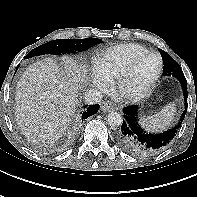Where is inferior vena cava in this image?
Wrapping results in <instances>:
<instances>
[{
	"mask_svg": "<svg viewBox=\"0 0 197 197\" xmlns=\"http://www.w3.org/2000/svg\"><path fill=\"white\" fill-rule=\"evenodd\" d=\"M84 98L87 104H97L102 100V93L97 89H87Z\"/></svg>",
	"mask_w": 197,
	"mask_h": 197,
	"instance_id": "1",
	"label": "inferior vena cava"
}]
</instances>
